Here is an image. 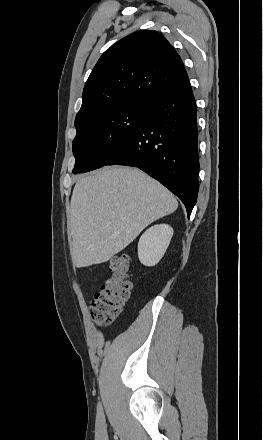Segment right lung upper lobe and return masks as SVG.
Wrapping results in <instances>:
<instances>
[{"mask_svg":"<svg viewBox=\"0 0 263 440\" xmlns=\"http://www.w3.org/2000/svg\"><path fill=\"white\" fill-rule=\"evenodd\" d=\"M187 79L180 56L160 33L130 34L104 52L95 65L84 86L75 126L116 106L148 103Z\"/></svg>","mask_w":263,"mask_h":440,"instance_id":"1","label":"right lung upper lobe"}]
</instances>
